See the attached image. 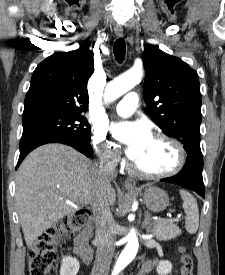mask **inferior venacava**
Returning a JSON list of instances; mask_svg holds the SVG:
<instances>
[{
	"mask_svg": "<svg viewBox=\"0 0 225 275\" xmlns=\"http://www.w3.org/2000/svg\"><path fill=\"white\" fill-rule=\"evenodd\" d=\"M119 156L108 152L101 159L99 172L105 187L110 185L114 177V169ZM96 226L97 251L91 275H108L114 253L115 233L113 216L103 192L99 193L92 203Z\"/></svg>",
	"mask_w": 225,
	"mask_h": 275,
	"instance_id": "obj_1",
	"label": "inferior vena cava"
}]
</instances>
